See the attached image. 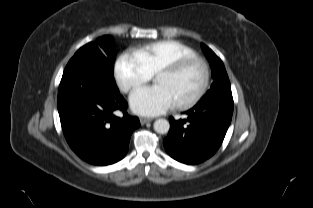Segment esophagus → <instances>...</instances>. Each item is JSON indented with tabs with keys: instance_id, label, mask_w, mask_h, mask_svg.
I'll return each mask as SVG.
<instances>
[{
	"instance_id": "34e87169",
	"label": "esophagus",
	"mask_w": 313,
	"mask_h": 208,
	"mask_svg": "<svg viewBox=\"0 0 313 208\" xmlns=\"http://www.w3.org/2000/svg\"><path fill=\"white\" fill-rule=\"evenodd\" d=\"M151 120H152V119H150V118L141 117V118H140V123H141V125H144V124L150 122Z\"/></svg>"
}]
</instances>
